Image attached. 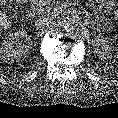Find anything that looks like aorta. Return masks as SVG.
Masks as SVG:
<instances>
[{
    "mask_svg": "<svg viewBox=\"0 0 118 118\" xmlns=\"http://www.w3.org/2000/svg\"><path fill=\"white\" fill-rule=\"evenodd\" d=\"M62 26L71 34H79L84 29L81 20L71 16H67L62 20Z\"/></svg>",
    "mask_w": 118,
    "mask_h": 118,
    "instance_id": "762f6f07",
    "label": "aorta"
}]
</instances>
